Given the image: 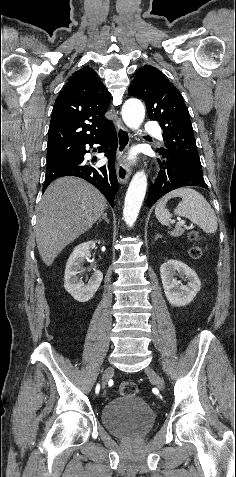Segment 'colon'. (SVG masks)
I'll use <instances>...</instances> for the list:
<instances>
[{
	"label": "colon",
	"instance_id": "colon-1",
	"mask_svg": "<svg viewBox=\"0 0 236 477\" xmlns=\"http://www.w3.org/2000/svg\"><path fill=\"white\" fill-rule=\"evenodd\" d=\"M191 239L193 241H195V245L190 249V255L195 259H199L204 254V248L199 243L201 237H200L199 233L193 232L191 234ZM118 391L121 395H136L137 386L133 382L123 381L119 384Z\"/></svg>",
	"mask_w": 236,
	"mask_h": 477
}]
</instances>
